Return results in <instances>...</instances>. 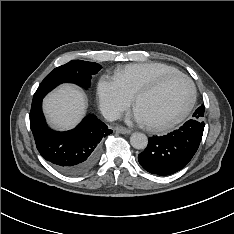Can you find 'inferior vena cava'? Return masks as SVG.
<instances>
[{"label":"inferior vena cava","mask_w":234,"mask_h":234,"mask_svg":"<svg viewBox=\"0 0 234 234\" xmlns=\"http://www.w3.org/2000/svg\"><path fill=\"white\" fill-rule=\"evenodd\" d=\"M102 115L108 121H114L120 118V112L115 109H103Z\"/></svg>","instance_id":"inferior-vena-cava-1"}]
</instances>
